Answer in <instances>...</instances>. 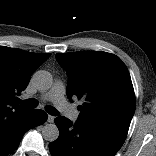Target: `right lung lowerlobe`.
Segmentation results:
<instances>
[{
	"label": "right lung lower lobe",
	"mask_w": 156,
	"mask_h": 156,
	"mask_svg": "<svg viewBox=\"0 0 156 156\" xmlns=\"http://www.w3.org/2000/svg\"><path fill=\"white\" fill-rule=\"evenodd\" d=\"M43 110L29 109L24 112L9 114L6 119L0 120V156L14 151L25 132L47 120Z\"/></svg>",
	"instance_id": "98d812e1"
}]
</instances>
